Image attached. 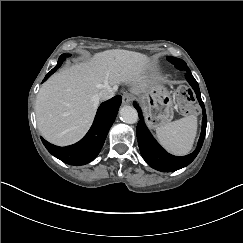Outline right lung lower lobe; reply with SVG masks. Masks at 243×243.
Returning <instances> with one entry per match:
<instances>
[{
  "label": "right lung lower lobe",
  "mask_w": 243,
  "mask_h": 243,
  "mask_svg": "<svg viewBox=\"0 0 243 243\" xmlns=\"http://www.w3.org/2000/svg\"><path fill=\"white\" fill-rule=\"evenodd\" d=\"M122 97L117 95L103 102L98 108L92 127L85 137L76 144L59 147L41 138L47 150L56 158L70 165H84L92 161L99 154L105 138L112 126Z\"/></svg>",
  "instance_id": "right-lung-lower-lobe-1"
}]
</instances>
